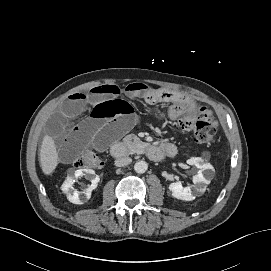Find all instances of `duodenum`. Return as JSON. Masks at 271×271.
Returning <instances> with one entry per match:
<instances>
[{
  "label": "duodenum",
  "mask_w": 271,
  "mask_h": 271,
  "mask_svg": "<svg viewBox=\"0 0 271 271\" xmlns=\"http://www.w3.org/2000/svg\"><path fill=\"white\" fill-rule=\"evenodd\" d=\"M146 152L148 157L154 161H159L162 158L167 157L168 154L165 148L154 145L147 146ZM110 154L113 158H122L128 154V150L124 143H115L110 148Z\"/></svg>",
  "instance_id": "obj_1"
}]
</instances>
